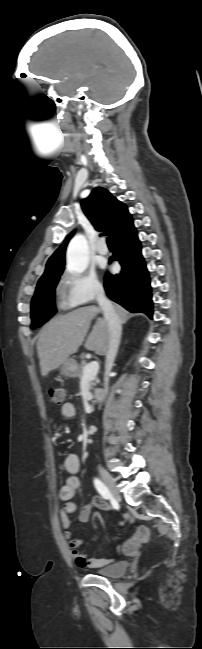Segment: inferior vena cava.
Segmentation results:
<instances>
[{
	"instance_id": "602c4592",
	"label": "inferior vena cava",
	"mask_w": 202,
	"mask_h": 649,
	"mask_svg": "<svg viewBox=\"0 0 202 649\" xmlns=\"http://www.w3.org/2000/svg\"><path fill=\"white\" fill-rule=\"evenodd\" d=\"M96 299L101 310L104 313V316L109 326V344L106 353V376H108L110 374L111 368L113 366V362L118 352L121 333H122V326H121L122 322L115 307L105 296L103 288H100L98 290ZM107 378L105 382V389L101 391L102 396H104L107 392Z\"/></svg>"
}]
</instances>
